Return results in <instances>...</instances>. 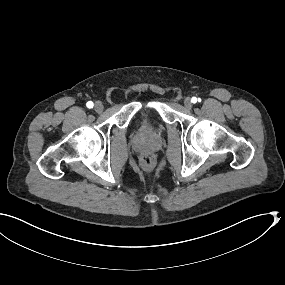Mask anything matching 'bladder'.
Here are the masks:
<instances>
[{
  "mask_svg": "<svg viewBox=\"0 0 285 285\" xmlns=\"http://www.w3.org/2000/svg\"><path fill=\"white\" fill-rule=\"evenodd\" d=\"M140 110L143 112V113H147V112H150V111H154L153 107L152 106H141L140 107ZM155 124H158L160 125V120H157L155 122ZM153 125V121H151L149 119V116L148 114H146V117L145 118H140V119H136L134 121V123L131 125L132 128H134L135 130L145 134V133H148L150 130H151V127Z\"/></svg>",
  "mask_w": 285,
  "mask_h": 285,
  "instance_id": "obj_1",
  "label": "bladder"
}]
</instances>
